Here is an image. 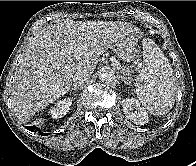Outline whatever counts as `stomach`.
I'll list each match as a JSON object with an SVG mask.
<instances>
[{"instance_id": "1", "label": "stomach", "mask_w": 196, "mask_h": 166, "mask_svg": "<svg viewBox=\"0 0 196 166\" xmlns=\"http://www.w3.org/2000/svg\"><path fill=\"white\" fill-rule=\"evenodd\" d=\"M138 52L137 38L133 33L126 35L115 44L117 57L124 61H134L138 57Z\"/></svg>"}]
</instances>
